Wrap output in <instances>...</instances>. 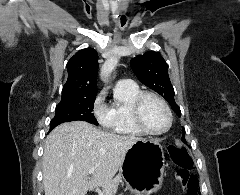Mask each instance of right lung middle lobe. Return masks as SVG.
<instances>
[{
    "label": "right lung middle lobe",
    "mask_w": 240,
    "mask_h": 195,
    "mask_svg": "<svg viewBox=\"0 0 240 195\" xmlns=\"http://www.w3.org/2000/svg\"><path fill=\"white\" fill-rule=\"evenodd\" d=\"M96 97L62 98L57 105L55 117L51 120L50 131L61 123L86 121L98 125L92 113Z\"/></svg>",
    "instance_id": "right-lung-middle-lobe-1"
}]
</instances>
